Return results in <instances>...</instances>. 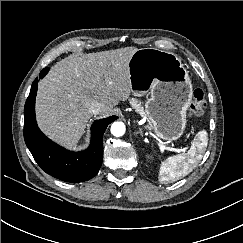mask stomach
Instances as JSON below:
<instances>
[{
  "label": "stomach",
  "instance_id": "0dacf381",
  "mask_svg": "<svg viewBox=\"0 0 243 243\" xmlns=\"http://www.w3.org/2000/svg\"><path fill=\"white\" fill-rule=\"evenodd\" d=\"M134 95L148 94L145 113L158 137L177 140L185 130L192 84L180 58L157 48L138 49L129 61Z\"/></svg>",
  "mask_w": 243,
  "mask_h": 243
}]
</instances>
